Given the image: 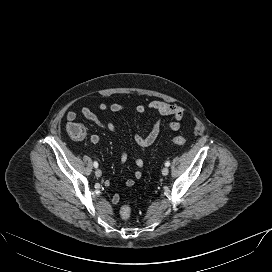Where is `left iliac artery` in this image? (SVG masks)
<instances>
[{
	"instance_id": "44dca946",
	"label": "left iliac artery",
	"mask_w": 272,
	"mask_h": 272,
	"mask_svg": "<svg viewBox=\"0 0 272 272\" xmlns=\"http://www.w3.org/2000/svg\"><path fill=\"white\" fill-rule=\"evenodd\" d=\"M165 166H166V167L170 166V162H169V161H166Z\"/></svg>"
}]
</instances>
